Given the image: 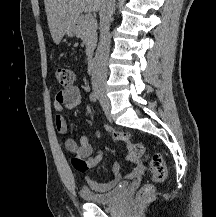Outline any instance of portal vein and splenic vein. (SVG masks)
<instances>
[{
  "instance_id": "1",
  "label": "portal vein and splenic vein",
  "mask_w": 216,
  "mask_h": 217,
  "mask_svg": "<svg viewBox=\"0 0 216 217\" xmlns=\"http://www.w3.org/2000/svg\"><path fill=\"white\" fill-rule=\"evenodd\" d=\"M86 18H87L88 20H90V21L94 19L91 14H87V15H86Z\"/></svg>"
}]
</instances>
